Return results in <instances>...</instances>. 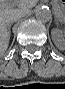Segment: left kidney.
<instances>
[{
  "instance_id": "1",
  "label": "left kidney",
  "mask_w": 65,
  "mask_h": 89,
  "mask_svg": "<svg viewBox=\"0 0 65 89\" xmlns=\"http://www.w3.org/2000/svg\"><path fill=\"white\" fill-rule=\"evenodd\" d=\"M53 42L59 50H65V31L58 29L53 36Z\"/></svg>"
}]
</instances>
